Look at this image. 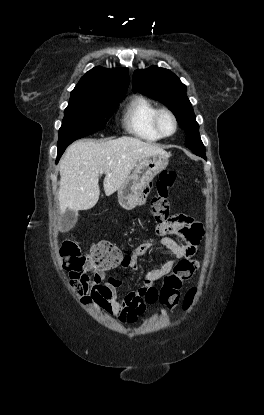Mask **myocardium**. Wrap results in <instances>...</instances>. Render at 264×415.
<instances>
[{"label":"myocardium","mask_w":264,"mask_h":415,"mask_svg":"<svg viewBox=\"0 0 264 415\" xmlns=\"http://www.w3.org/2000/svg\"><path fill=\"white\" fill-rule=\"evenodd\" d=\"M162 114H168L171 117L172 121H173L174 129L171 133L166 134L160 128V117H161ZM152 125H153V128L155 129V131L159 134V136L161 138L170 137V136L174 135L176 133L177 129H178V120H177V117L174 114V112L171 111L170 109H168V108H159L153 114Z\"/></svg>","instance_id":"myocardium-1"}]
</instances>
